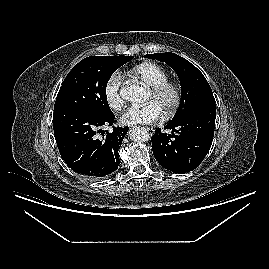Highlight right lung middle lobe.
Returning a JSON list of instances; mask_svg holds the SVG:
<instances>
[{"label": "right lung middle lobe", "instance_id": "right-lung-middle-lobe-1", "mask_svg": "<svg viewBox=\"0 0 269 269\" xmlns=\"http://www.w3.org/2000/svg\"><path fill=\"white\" fill-rule=\"evenodd\" d=\"M134 56H91L80 61L66 76L55 101L54 110L83 108L111 112L106 86L111 75Z\"/></svg>", "mask_w": 269, "mask_h": 269}]
</instances>
